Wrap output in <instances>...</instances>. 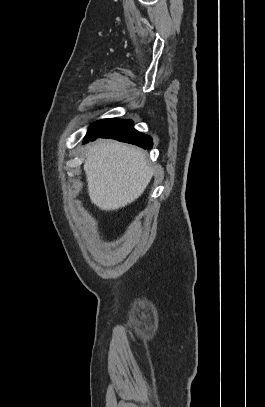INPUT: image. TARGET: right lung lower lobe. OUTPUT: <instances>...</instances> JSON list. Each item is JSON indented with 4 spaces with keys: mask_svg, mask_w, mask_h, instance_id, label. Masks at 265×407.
Wrapping results in <instances>:
<instances>
[{
    "mask_svg": "<svg viewBox=\"0 0 265 407\" xmlns=\"http://www.w3.org/2000/svg\"><path fill=\"white\" fill-rule=\"evenodd\" d=\"M98 137L116 139L118 141L140 146L144 149H151L152 147V138L135 130L131 120H122L101 134L86 137L84 141H93Z\"/></svg>",
    "mask_w": 265,
    "mask_h": 407,
    "instance_id": "obj_1",
    "label": "right lung lower lobe"
}]
</instances>
